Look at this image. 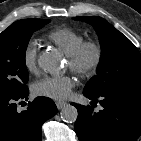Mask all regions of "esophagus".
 I'll use <instances>...</instances> for the list:
<instances>
[{
    "instance_id": "obj_1",
    "label": "esophagus",
    "mask_w": 141,
    "mask_h": 141,
    "mask_svg": "<svg viewBox=\"0 0 141 141\" xmlns=\"http://www.w3.org/2000/svg\"><path fill=\"white\" fill-rule=\"evenodd\" d=\"M68 104L66 102H56V106L59 110L63 109L64 107H66Z\"/></svg>"
}]
</instances>
